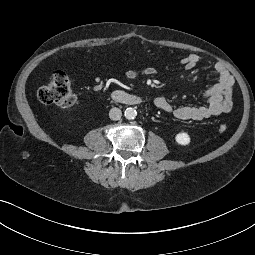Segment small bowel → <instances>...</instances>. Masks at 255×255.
Returning <instances> with one entry per match:
<instances>
[{"instance_id": "c3829d8e", "label": "small bowel", "mask_w": 255, "mask_h": 255, "mask_svg": "<svg viewBox=\"0 0 255 255\" xmlns=\"http://www.w3.org/2000/svg\"><path fill=\"white\" fill-rule=\"evenodd\" d=\"M200 62L197 54H188L180 60V65L187 69L195 68ZM218 82L204 93L205 105L174 107L165 97L154 99L155 106L165 113L180 120L201 121L213 116L229 113L233 108L234 78L224 64L218 62L214 66ZM157 73L154 67L126 72L125 80H134L139 76H153Z\"/></svg>"}]
</instances>
